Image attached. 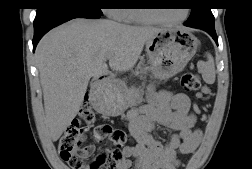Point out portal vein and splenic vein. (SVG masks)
Here are the masks:
<instances>
[{
  "mask_svg": "<svg viewBox=\"0 0 252 169\" xmlns=\"http://www.w3.org/2000/svg\"><path fill=\"white\" fill-rule=\"evenodd\" d=\"M111 56H107L105 59H110Z\"/></svg>",
  "mask_w": 252,
  "mask_h": 169,
  "instance_id": "portal-vein-and-splenic-vein-1",
  "label": "portal vein and splenic vein"
}]
</instances>
